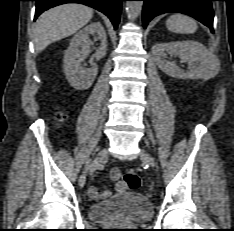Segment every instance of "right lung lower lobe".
<instances>
[{"label":"right lung lower lobe","instance_id":"1","mask_svg":"<svg viewBox=\"0 0 234 231\" xmlns=\"http://www.w3.org/2000/svg\"><path fill=\"white\" fill-rule=\"evenodd\" d=\"M35 19L47 9L64 3H81L107 15L116 29L120 20L121 4L124 0H35Z\"/></svg>","mask_w":234,"mask_h":231}]
</instances>
